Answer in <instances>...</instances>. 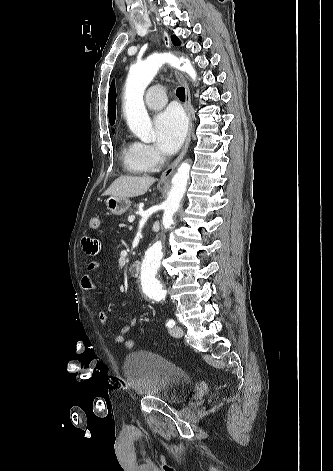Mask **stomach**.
Instances as JSON below:
<instances>
[{"label":"stomach","instance_id":"1","mask_svg":"<svg viewBox=\"0 0 333 471\" xmlns=\"http://www.w3.org/2000/svg\"><path fill=\"white\" fill-rule=\"evenodd\" d=\"M107 209L114 215H122L131 206V201L128 198H120L110 196L106 200Z\"/></svg>","mask_w":333,"mask_h":471}]
</instances>
